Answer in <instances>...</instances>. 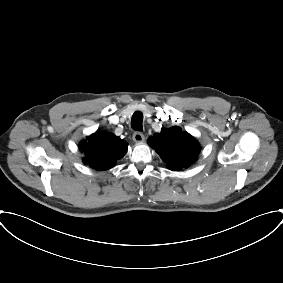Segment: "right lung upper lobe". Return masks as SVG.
Masks as SVG:
<instances>
[{
	"mask_svg": "<svg viewBox=\"0 0 283 283\" xmlns=\"http://www.w3.org/2000/svg\"><path fill=\"white\" fill-rule=\"evenodd\" d=\"M90 138L81 142L80 150L85 154L84 162L97 170L112 168L127 152L128 143L113 133L98 131Z\"/></svg>",
	"mask_w": 283,
	"mask_h": 283,
	"instance_id": "1",
	"label": "right lung upper lobe"
}]
</instances>
